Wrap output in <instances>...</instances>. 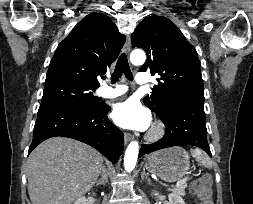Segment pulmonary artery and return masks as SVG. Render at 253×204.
Returning <instances> with one entry per match:
<instances>
[{"mask_svg":"<svg viewBox=\"0 0 253 204\" xmlns=\"http://www.w3.org/2000/svg\"><path fill=\"white\" fill-rule=\"evenodd\" d=\"M135 79L136 83L141 86H145L150 83L148 74L146 73H137ZM127 90L128 87L126 85H117L115 87L104 85L99 89L98 94L104 98H115L125 94Z\"/></svg>","mask_w":253,"mask_h":204,"instance_id":"1","label":"pulmonary artery"}]
</instances>
